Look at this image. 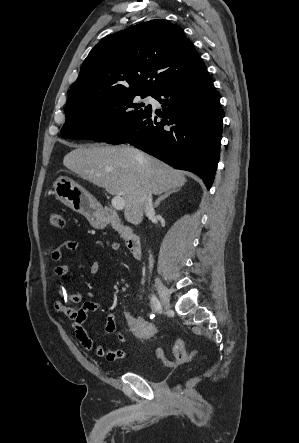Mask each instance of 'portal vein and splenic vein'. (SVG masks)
Masks as SVG:
<instances>
[{"instance_id":"portal-vein-and-splenic-vein-1","label":"portal vein and splenic vein","mask_w":299,"mask_h":443,"mask_svg":"<svg viewBox=\"0 0 299 443\" xmlns=\"http://www.w3.org/2000/svg\"><path fill=\"white\" fill-rule=\"evenodd\" d=\"M112 206L115 210H123L125 207V201L121 196H115L112 198Z\"/></svg>"}]
</instances>
